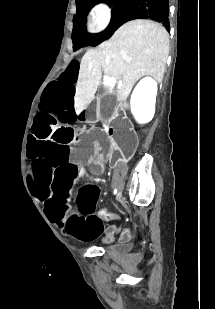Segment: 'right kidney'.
Here are the masks:
<instances>
[{"label":"right kidney","mask_w":215,"mask_h":309,"mask_svg":"<svg viewBox=\"0 0 215 309\" xmlns=\"http://www.w3.org/2000/svg\"><path fill=\"white\" fill-rule=\"evenodd\" d=\"M157 82L151 76H145L131 94V110L138 122H149L155 112Z\"/></svg>","instance_id":"right-kidney-1"}]
</instances>
